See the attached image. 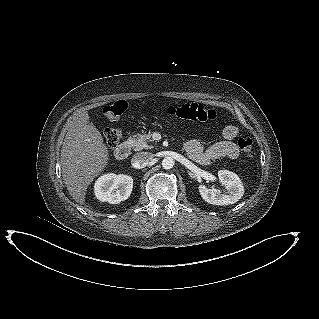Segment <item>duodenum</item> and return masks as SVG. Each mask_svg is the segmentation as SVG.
I'll use <instances>...</instances> for the list:
<instances>
[{"label": "duodenum", "mask_w": 319, "mask_h": 319, "mask_svg": "<svg viewBox=\"0 0 319 319\" xmlns=\"http://www.w3.org/2000/svg\"><path fill=\"white\" fill-rule=\"evenodd\" d=\"M129 153H130V144L128 142H122L116 147L114 151L116 158L119 160H123L127 158Z\"/></svg>", "instance_id": "410a0bca"}]
</instances>
